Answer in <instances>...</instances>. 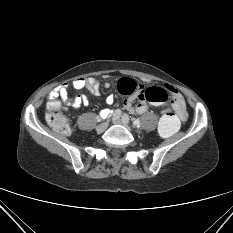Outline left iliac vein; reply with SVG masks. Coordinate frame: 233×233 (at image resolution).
I'll use <instances>...</instances> for the list:
<instances>
[{"instance_id": "left-iliac-vein-1", "label": "left iliac vein", "mask_w": 233, "mask_h": 233, "mask_svg": "<svg viewBox=\"0 0 233 233\" xmlns=\"http://www.w3.org/2000/svg\"><path fill=\"white\" fill-rule=\"evenodd\" d=\"M113 122H114L115 124L123 125V126H125L126 128H128V129L131 128L129 122H126V121H124L123 119H113Z\"/></svg>"}]
</instances>
